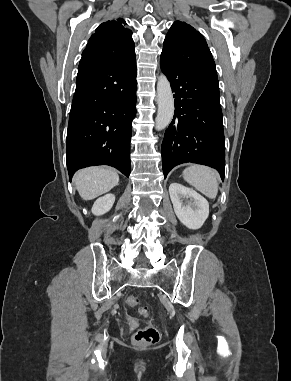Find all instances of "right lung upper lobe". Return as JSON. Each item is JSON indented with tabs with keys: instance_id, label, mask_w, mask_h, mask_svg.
Here are the masks:
<instances>
[{
	"instance_id": "right-lung-upper-lobe-1",
	"label": "right lung upper lobe",
	"mask_w": 291,
	"mask_h": 381,
	"mask_svg": "<svg viewBox=\"0 0 291 381\" xmlns=\"http://www.w3.org/2000/svg\"><path fill=\"white\" fill-rule=\"evenodd\" d=\"M123 19L98 26L82 53L80 64L121 61L135 53L131 30Z\"/></svg>"
}]
</instances>
